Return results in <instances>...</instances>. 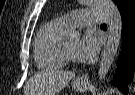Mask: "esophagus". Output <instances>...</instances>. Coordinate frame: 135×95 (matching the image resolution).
I'll return each instance as SVG.
<instances>
[{"label": "esophagus", "mask_w": 135, "mask_h": 95, "mask_svg": "<svg viewBox=\"0 0 135 95\" xmlns=\"http://www.w3.org/2000/svg\"><path fill=\"white\" fill-rule=\"evenodd\" d=\"M89 75L86 73L78 78V81L80 82H88Z\"/></svg>", "instance_id": "obj_1"}]
</instances>
